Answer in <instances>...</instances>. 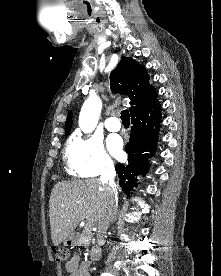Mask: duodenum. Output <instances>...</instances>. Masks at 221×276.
<instances>
[{"mask_svg": "<svg viewBox=\"0 0 221 276\" xmlns=\"http://www.w3.org/2000/svg\"><path fill=\"white\" fill-rule=\"evenodd\" d=\"M100 255H101V250L99 248H93L90 250V258L92 260L99 259Z\"/></svg>", "mask_w": 221, "mask_h": 276, "instance_id": "obj_1", "label": "duodenum"}]
</instances>
